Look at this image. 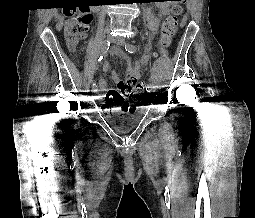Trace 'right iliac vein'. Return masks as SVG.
<instances>
[{"label":"right iliac vein","instance_id":"63e3f726","mask_svg":"<svg viewBox=\"0 0 255 218\" xmlns=\"http://www.w3.org/2000/svg\"><path fill=\"white\" fill-rule=\"evenodd\" d=\"M107 40L108 41H110V42H112L113 41V37H111V36H108L107 37ZM98 91V88L97 87H92V92H94V93H96Z\"/></svg>","mask_w":255,"mask_h":218}]
</instances>
